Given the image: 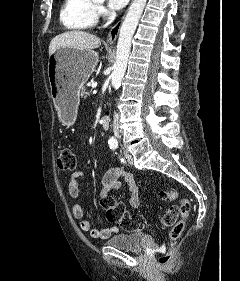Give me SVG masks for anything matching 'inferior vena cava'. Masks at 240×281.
Segmentation results:
<instances>
[{"label": "inferior vena cava", "mask_w": 240, "mask_h": 281, "mask_svg": "<svg viewBox=\"0 0 240 281\" xmlns=\"http://www.w3.org/2000/svg\"><path fill=\"white\" fill-rule=\"evenodd\" d=\"M118 120H119V115L117 113H114L113 132L116 138H120Z\"/></svg>", "instance_id": "inferior-vena-cava-1"}]
</instances>
